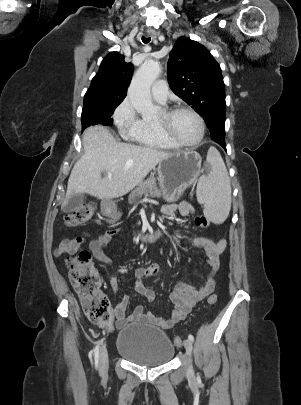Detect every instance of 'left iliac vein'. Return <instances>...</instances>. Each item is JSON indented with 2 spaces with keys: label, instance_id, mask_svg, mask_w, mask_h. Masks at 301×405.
<instances>
[{
  "label": "left iliac vein",
  "instance_id": "1",
  "mask_svg": "<svg viewBox=\"0 0 301 405\" xmlns=\"http://www.w3.org/2000/svg\"><path fill=\"white\" fill-rule=\"evenodd\" d=\"M184 347H185V349H186V352H187L189 358H191L193 346H192V342H191L189 339H187V340L184 341ZM188 374H189V375H192V374H193V369H192V366H191V365H190L189 368H188Z\"/></svg>",
  "mask_w": 301,
  "mask_h": 405
}]
</instances>
